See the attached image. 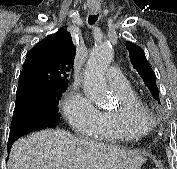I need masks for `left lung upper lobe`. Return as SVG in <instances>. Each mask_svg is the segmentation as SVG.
Segmentation results:
<instances>
[{
	"label": "left lung upper lobe",
	"mask_w": 177,
	"mask_h": 169,
	"mask_svg": "<svg viewBox=\"0 0 177 169\" xmlns=\"http://www.w3.org/2000/svg\"><path fill=\"white\" fill-rule=\"evenodd\" d=\"M126 47L129 51V56L133 68L138 71L145 85L152 91L153 96L160 103L159 90L156 85L155 72L152 70L151 66L146 61L143 49L131 42H126Z\"/></svg>",
	"instance_id": "1"
}]
</instances>
